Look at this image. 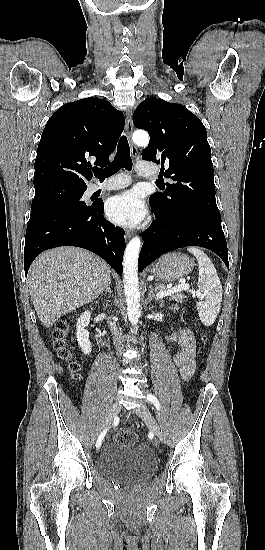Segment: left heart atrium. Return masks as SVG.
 <instances>
[{"mask_svg": "<svg viewBox=\"0 0 265 550\" xmlns=\"http://www.w3.org/2000/svg\"><path fill=\"white\" fill-rule=\"evenodd\" d=\"M108 218L121 226H136L146 216L141 197L134 191H126L111 197L106 204Z\"/></svg>", "mask_w": 265, "mask_h": 550, "instance_id": "left-heart-atrium-1", "label": "left heart atrium"}]
</instances>
